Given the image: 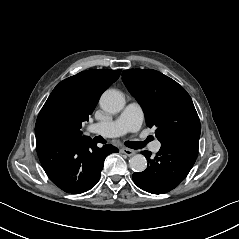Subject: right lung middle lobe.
Here are the masks:
<instances>
[{
	"label": "right lung middle lobe",
	"mask_w": 239,
	"mask_h": 239,
	"mask_svg": "<svg viewBox=\"0 0 239 239\" xmlns=\"http://www.w3.org/2000/svg\"><path fill=\"white\" fill-rule=\"evenodd\" d=\"M82 120L79 117L56 113L50 118V127L57 135H65L81 128Z\"/></svg>",
	"instance_id": "obj_1"
}]
</instances>
